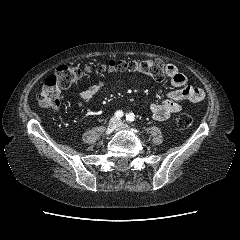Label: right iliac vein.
Wrapping results in <instances>:
<instances>
[{
    "label": "right iliac vein",
    "mask_w": 240,
    "mask_h": 240,
    "mask_svg": "<svg viewBox=\"0 0 240 240\" xmlns=\"http://www.w3.org/2000/svg\"><path fill=\"white\" fill-rule=\"evenodd\" d=\"M118 124L119 121L115 117L111 118L106 128L105 134L110 135L118 127Z\"/></svg>",
    "instance_id": "63e3f726"
}]
</instances>
